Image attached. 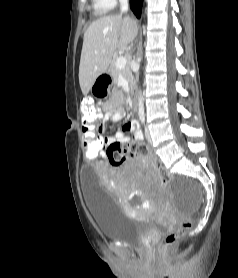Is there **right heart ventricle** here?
Returning <instances> with one entry per match:
<instances>
[{"label":"right heart ventricle","mask_w":238,"mask_h":278,"mask_svg":"<svg viewBox=\"0 0 238 278\" xmlns=\"http://www.w3.org/2000/svg\"><path fill=\"white\" fill-rule=\"evenodd\" d=\"M92 5L95 14L98 16L105 15L114 7L111 0H92Z\"/></svg>","instance_id":"right-heart-ventricle-1"}]
</instances>
